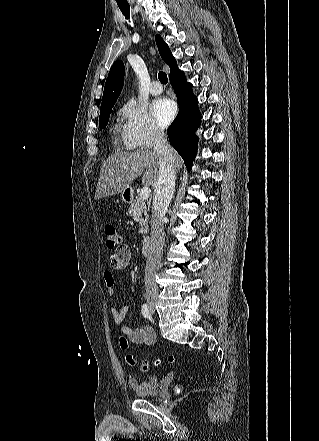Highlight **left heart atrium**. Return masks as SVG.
<instances>
[{
    "label": "left heart atrium",
    "mask_w": 319,
    "mask_h": 441,
    "mask_svg": "<svg viewBox=\"0 0 319 441\" xmlns=\"http://www.w3.org/2000/svg\"><path fill=\"white\" fill-rule=\"evenodd\" d=\"M151 111L157 122L161 126H166L174 117L176 107L171 100L158 98L152 103Z\"/></svg>",
    "instance_id": "left-heart-atrium-1"
}]
</instances>
